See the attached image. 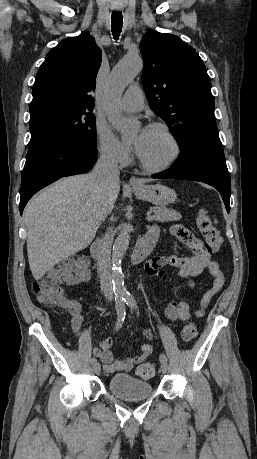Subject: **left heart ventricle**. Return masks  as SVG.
<instances>
[{
    "instance_id": "left-heart-ventricle-1",
    "label": "left heart ventricle",
    "mask_w": 257,
    "mask_h": 459,
    "mask_svg": "<svg viewBox=\"0 0 257 459\" xmlns=\"http://www.w3.org/2000/svg\"><path fill=\"white\" fill-rule=\"evenodd\" d=\"M140 156L151 165H161L168 161L174 148L170 139L160 130L147 128L141 139V132L134 137Z\"/></svg>"
}]
</instances>
